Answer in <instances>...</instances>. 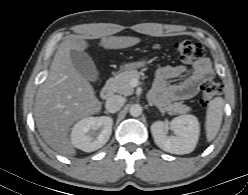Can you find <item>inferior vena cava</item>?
Instances as JSON below:
<instances>
[{"label":"inferior vena cava","mask_w":248,"mask_h":195,"mask_svg":"<svg viewBox=\"0 0 248 195\" xmlns=\"http://www.w3.org/2000/svg\"><path fill=\"white\" fill-rule=\"evenodd\" d=\"M125 100L122 96L113 95L109 97L106 101L105 107L106 110L110 113H115L121 109Z\"/></svg>","instance_id":"602c4592"}]
</instances>
